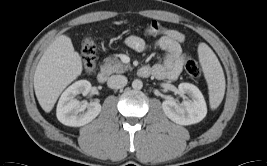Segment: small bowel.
<instances>
[{
    "label": "small bowel",
    "instance_id": "1",
    "mask_svg": "<svg viewBox=\"0 0 267 166\" xmlns=\"http://www.w3.org/2000/svg\"><path fill=\"white\" fill-rule=\"evenodd\" d=\"M185 41L184 35L177 30H169L158 37L154 46L164 51V57L160 63L153 66H144L148 75H153L160 80H176L181 73L184 63L182 44ZM126 45L136 52H144L150 46L139 36L131 35L125 40Z\"/></svg>",
    "mask_w": 267,
    "mask_h": 166
}]
</instances>
